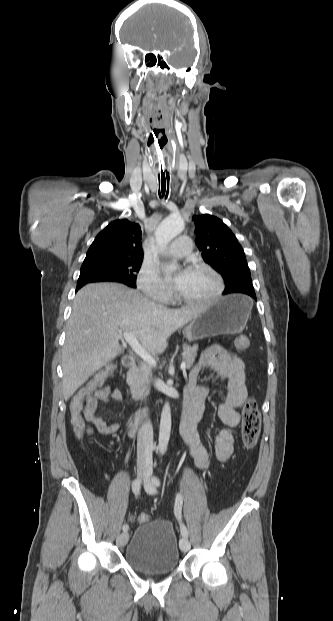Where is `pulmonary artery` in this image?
Masks as SVG:
<instances>
[{
  "instance_id": "e3ab8cb5",
  "label": "pulmonary artery",
  "mask_w": 333,
  "mask_h": 621,
  "mask_svg": "<svg viewBox=\"0 0 333 621\" xmlns=\"http://www.w3.org/2000/svg\"><path fill=\"white\" fill-rule=\"evenodd\" d=\"M191 240L187 236H179L166 249L168 255L173 257H185L191 253Z\"/></svg>"
}]
</instances>
